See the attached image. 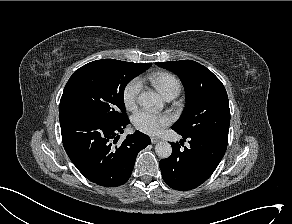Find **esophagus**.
Here are the masks:
<instances>
[{
	"label": "esophagus",
	"mask_w": 292,
	"mask_h": 224,
	"mask_svg": "<svg viewBox=\"0 0 292 224\" xmlns=\"http://www.w3.org/2000/svg\"><path fill=\"white\" fill-rule=\"evenodd\" d=\"M161 141V139L159 138V137H155V136H152L151 137V142L153 143V144H156V143H158V142H160Z\"/></svg>",
	"instance_id": "obj_1"
}]
</instances>
